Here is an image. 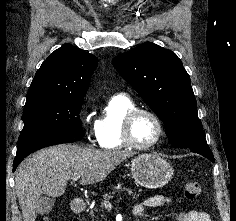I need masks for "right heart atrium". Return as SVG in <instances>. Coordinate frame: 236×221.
Masks as SVG:
<instances>
[{
	"instance_id": "d8ad5b80",
	"label": "right heart atrium",
	"mask_w": 236,
	"mask_h": 221,
	"mask_svg": "<svg viewBox=\"0 0 236 221\" xmlns=\"http://www.w3.org/2000/svg\"><path fill=\"white\" fill-rule=\"evenodd\" d=\"M83 118L85 121L86 125V133L87 137L91 142H97V127H96V122L91 123L90 122V106L87 105L84 110H83Z\"/></svg>"
}]
</instances>
